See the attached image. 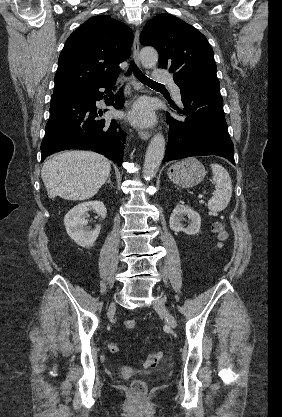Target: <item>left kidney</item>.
I'll list each match as a JSON object with an SVG mask.
<instances>
[{"instance_id": "5707ae66", "label": "left kidney", "mask_w": 282, "mask_h": 417, "mask_svg": "<svg viewBox=\"0 0 282 417\" xmlns=\"http://www.w3.org/2000/svg\"><path fill=\"white\" fill-rule=\"evenodd\" d=\"M187 215L188 219H191L190 225L184 229L181 221L182 217ZM169 227L171 231L179 233V231H184L186 235H197L201 227V217L199 213L193 211L191 206L188 204H176L174 211H172L169 219Z\"/></svg>"}]
</instances>
